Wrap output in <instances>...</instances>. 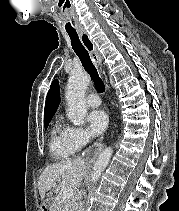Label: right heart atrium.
Masks as SVG:
<instances>
[{"mask_svg": "<svg viewBox=\"0 0 179 211\" xmlns=\"http://www.w3.org/2000/svg\"><path fill=\"white\" fill-rule=\"evenodd\" d=\"M68 138L75 149H79L85 146L89 140V133L80 127L69 126L68 127Z\"/></svg>", "mask_w": 179, "mask_h": 211, "instance_id": "1", "label": "right heart atrium"}]
</instances>
